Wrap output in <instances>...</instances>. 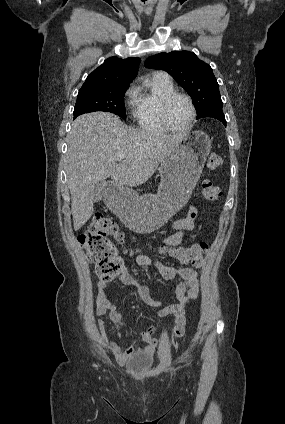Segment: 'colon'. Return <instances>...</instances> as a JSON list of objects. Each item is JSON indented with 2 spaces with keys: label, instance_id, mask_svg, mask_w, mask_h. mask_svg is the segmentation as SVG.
I'll return each mask as SVG.
<instances>
[{
  "label": "colon",
  "instance_id": "obj_1",
  "mask_svg": "<svg viewBox=\"0 0 285 424\" xmlns=\"http://www.w3.org/2000/svg\"><path fill=\"white\" fill-rule=\"evenodd\" d=\"M222 164L223 159L219 154H209L206 161V167L209 171L218 170ZM202 195L208 201H217L222 197V191L210 180H205L202 183ZM110 238L120 243L124 241V235L119 226L104 215L95 216L90 227L78 237V241L88 257L95 263L98 276L104 280L114 278L124 267L123 260ZM209 249V243L201 242L170 250L163 248L161 251L168 253L180 263H192L195 266H200ZM182 322L183 317L180 316L178 325L181 326Z\"/></svg>",
  "mask_w": 285,
  "mask_h": 424
}]
</instances>
